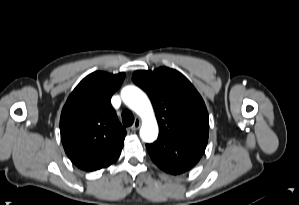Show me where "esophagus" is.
I'll use <instances>...</instances> for the list:
<instances>
[{
    "label": "esophagus",
    "instance_id": "obj_1",
    "mask_svg": "<svg viewBox=\"0 0 299 205\" xmlns=\"http://www.w3.org/2000/svg\"><path fill=\"white\" fill-rule=\"evenodd\" d=\"M140 125H141L140 119H136L135 122H134V124L131 126L130 129L132 131H136V130L139 129Z\"/></svg>",
    "mask_w": 299,
    "mask_h": 205
}]
</instances>
